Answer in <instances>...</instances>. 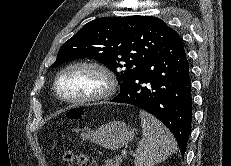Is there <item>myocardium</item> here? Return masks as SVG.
<instances>
[{"label": "myocardium", "instance_id": "obj_1", "mask_svg": "<svg viewBox=\"0 0 231 166\" xmlns=\"http://www.w3.org/2000/svg\"><path fill=\"white\" fill-rule=\"evenodd\" d=\"M75 68H88L98 72L104 80L103 88L92 95L84 97L68 98L63 96L59 90V80L66 72ZM117 85V79L114 72L105 64L95 60H80L66 65L56 74L53 88L57 98L63 102L70 104H90L111 98L117 90Z\"/></svg>", "mask_w": 231, "mask_h": 166}]
</instances>
